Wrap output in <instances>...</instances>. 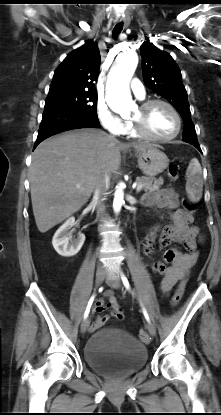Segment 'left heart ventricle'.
I'll use <instances>...</instances> for the list:
<instances>
[{
	"label": "left heart ventricle",
	"instance_id": "obj_1",
	"mask_svg": "<svg viewBox=\"0 0 221 415\" xmlns=\"http://www.w3.org/2000/svg\"><path fill=\"white\" fill-rule=\"evenodd\" d=\"M132 119H143L148 132L156 136H169L176 130L174 115L166 106L161 104L153 105L144 113L138 108Z\"/></svg>",
	"mask_w": 221,
	"mask_h": 415
}]
</instances>
